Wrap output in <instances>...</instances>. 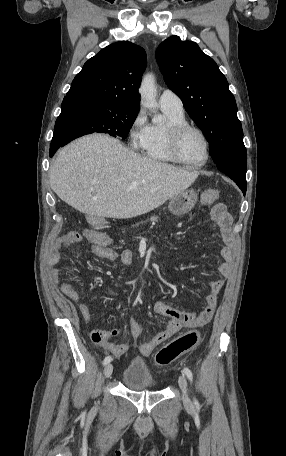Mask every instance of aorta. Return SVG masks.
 Listing matches in <instances>:
<instances>
[{
	"mask_svg": "<svg viewBox=\"0 0 286 456\" xmlns=\"http://www.w3.org/2000/svg\"><path fill=\"white\" fill-rule=\"evenodd\" d=\"M139 93L141 96V103L147 108H154L157 106L156 102V84L155 78L152 74H147L143 77ZM159 120V119H158Z\"/></svg>",
	"mask_w": 286,
	"mask_h": 456,
	"instance_id": "obj_1",
	"label": "aorta"
}]
</instances>
